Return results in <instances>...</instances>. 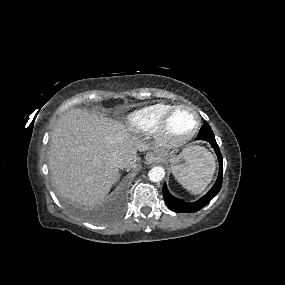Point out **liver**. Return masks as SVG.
I'll return each instance as SVG.
<instances>
[{"instance_id":"obj_1","label":"liver","mask_w":285,"mask_h":285,"mask_svg":"<svg viewBox=\"0 0 285 285\" xmlns=\"http://www.w3.org/2000/svg\"><path fill=\"white\" fill-rule=\"evenodd\" d=\"M147 148L116 120L70 110L58 119L51 134L48 158L53 183L71 201L97 205L118 180L114 156H121L124 167L131 169L137 151Z\"/></svg>"}]
</instances>
